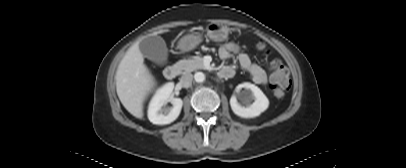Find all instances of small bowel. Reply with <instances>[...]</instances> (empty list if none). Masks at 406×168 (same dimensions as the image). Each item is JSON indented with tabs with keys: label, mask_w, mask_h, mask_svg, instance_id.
I'll return each instance as SVG.
<instances>
[{
	"label": "small bowel",
	"mask_w": 406,
	"mask_h": 168,
	"mask_svg": "<svg viewBox=\"0 0 406 168\" xmlns=\"http://www.w3.org/2000/svg\"><path fill=\"white\" fill-rule=\"evenodd\" d=\"M219 57L223 60H228L235 56L245 71L250 75L253 82L259 85H265L267 83V75L262 67L253 63L247 53L241 50L239 45L235 43H227L219 48ZM223 68H230V66H225ZM234 71V70H233Z\"/></svg>",
	"instance_id": "c3829d8e"
}]
</instances>
